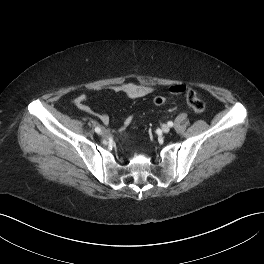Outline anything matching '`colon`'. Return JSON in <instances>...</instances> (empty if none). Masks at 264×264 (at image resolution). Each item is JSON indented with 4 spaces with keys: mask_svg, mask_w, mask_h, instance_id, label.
<instances>
[{
    "mask_svg": "<svg viewBox=\"0 0 264 264\" xmlns=\"http://www.w3.org/2000/svg\"><path fill=\"white\" fill-rule=\"evenodd\" d=\"M186 101L188 106L196 113L202 114L205 111L204 102L198 98L196 92L189 88L186 91ZM153 102L156 106H162L166 102V98L164 96H156L153 99Z\"/></svg>",
    "mask_w": 264,
    "mask_h": 264,
    "instance_id": "obj_1",
    "label": "colon"
}]
</instances>
